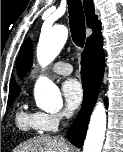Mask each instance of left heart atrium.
Returning <instances> with one entry per match:
<instances>
[{"instance_id":"39dd6f15","label":"left heart atrium","mask_w":123,"mask_h":152,"mask_svg":"<svg viewBox=\"0 0 123 152\" xmlns=\"http://www.w3.org/2000/svg\"><path fill=\"white\" fill-rule=\"evenodd\" d=\"M62 93L66 106L70 110L79 107L83 99V89L78 80L74 78L66 80L62 85Z\"/></svg>"}]
</instances>
